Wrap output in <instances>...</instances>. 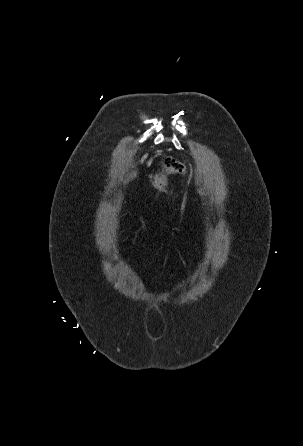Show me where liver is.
Returning a JSON list of instances; mask_svg holds the SVG:
<instances>
[{
    "instance_id": "obj_1",
    "label": "liver",
    "mask_w": 303,
    "mask_h": 446,
    "mask_svg": "<svg viewBox=\"0 0 303 446\" xmlns=\"http://www.w3.org/2000/svg\"><path fill=\"white\" fill-rule=\"evenodd\" d=\"M147 155H145L142 159L141 162H143L146 159Z\"/></svg>"
}]
</instances>
